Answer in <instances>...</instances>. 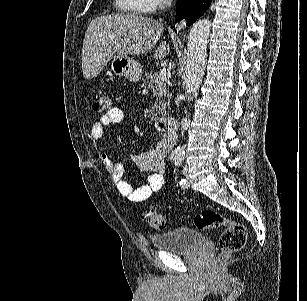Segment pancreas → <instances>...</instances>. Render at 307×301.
Instances as JSON below:
<instances>
[{"mask_svg":"<svg viewBox=\"0 0 307 301\" xmlns=\"http://www.w3.org/2000/svg\"><path fill=\"white\" fill-rule=\"evenodd\" d=\"M157 78L158 76L154 74L153 70H150L143 76L142 84L146 88H151L152 92H154L155 100L154 106H152L154 112L161 114V116H166L171 104L170 90L165 80H157Z\"/></svg>","mask_w":307,"mask_h":301,"instance_id":"pancreas-1","label":"pancreas"}]
</instances>
